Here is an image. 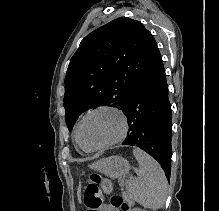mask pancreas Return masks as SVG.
Segmentation results:
<instances>
[{"label":"pancreas","mask_w":219,"mask_h":211,"mask_svg":"<svg viewBox=\"0 0 219 211\" xmlns=\"http://www.w3.org/2000/svg\"><path fill=\"white\" fill-rule=\"evenodd\" d=\"M124 195H126V193H124ZM126 197H127L126 201H128V203H131L132 199L130 195H126Z\"/></svg>","instance_id":"1"}]
</instances>
